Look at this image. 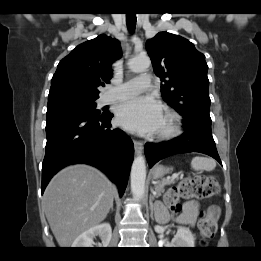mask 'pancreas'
Returning a JSON list of instances; mask_svg holds the SVG:
<instances>
[{
  "instance_id": "obj_1",
  "label": "pancreas",
  "mask_w": 261,
  "mask_h": 261,
  "mask_svg": "<svg viewBox=\"0 0 261 261\" xmlns=\"http://www.w3.org/2000/svg\"><path fill=\"white\" fill-rule=\"evenodd\" d=\"M174 181H171V180H164L162 182H159L155 185L154 187V196L155 197H159L161 196V193L164 192V187L165 185L167 184H170V183H173Z\"/></svg>"
}]
</instances>
